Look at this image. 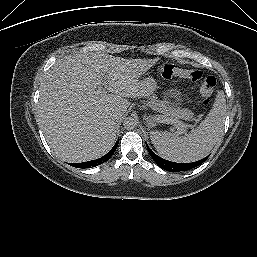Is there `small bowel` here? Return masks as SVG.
Segmentation results:
<instances>
[{
	"mask_svg": "<svg viewBox=\"0 0 257 257\" xmlns=\"http://www.w3.org/2000/svg\"><path fill=\"white\" fill-rule=\"evenodd\" d=\"M171 94L175 97L179 95L176 91H172Z\"/></svg>",
	"mask_w": 257,
	"mask_h": 257,
	"instance_id": "obj_1",
	"label": "small bowel"
}]
</instances>
